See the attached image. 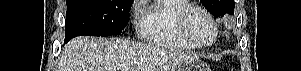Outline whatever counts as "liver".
<instances>
[{
    "mask_svg": "<svg viewBox=\"0 0 301 71\" xmlns=\"http://www.w3.org/2000/svg\"><path fill=\"white\" fill-rule=\"evenodd\" d=\"M189 57L124 38L82 36L63 48L60 71H170Z\"/></svg>",
    "mask_w": 301,
    "mask_h": 71,
    "instance_id": "1",
    "label": "liver"
}]
</instances>
